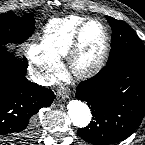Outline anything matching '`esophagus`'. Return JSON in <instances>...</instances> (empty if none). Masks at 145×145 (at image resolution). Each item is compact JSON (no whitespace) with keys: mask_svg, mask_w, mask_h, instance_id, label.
<instances>
[{"mask_svg":"<svg viewBox=\"0 0 145 145\" xmlns=\"http://www.w3.org/2000/svg\"><path fill=\"white\" fill-rule=\"evenodd\" d=\"M57 95L59 97H61L62 99H68L69 98V96H68V94L66 92V89L63 88V87H61V88L58 89Z\"/></svg>","mask_w":145,"mask_h":145,"instance_id":"34e87169","label":"esophagus"}]
</instances>
